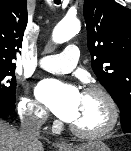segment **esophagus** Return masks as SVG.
<instances>
[{
	"label": "esophagus",
	"mask_w": 131,
	"mask_h": 151,
	"mask_svg": "<svg viewBox=\"0 0 131 151\" xmlns=\"http://www.w3.org/2000/svg\"><path fill=\"white\" fill-rule=\"evenodd\" d=\"M59 147L63 150H67V149L70 148V145L66 142H62V143L59 144Z\"/></svg>",
	"instance_id": "34e87169"
}]
</instances>
